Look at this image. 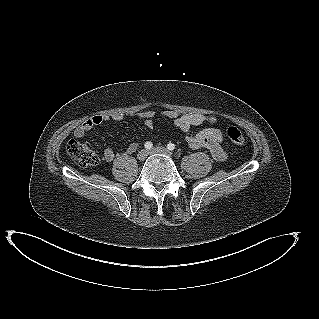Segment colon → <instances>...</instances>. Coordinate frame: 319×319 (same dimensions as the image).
<instances>
[{
    "mask_svg": "<svg viewBox=\"0 0 319 319\" xmlns=\"http://www.w3.org/2000/svg\"><path fill=\"white\" fill-rule=\"evenodd\" d=\"M227 137L235 145H243L245 137L240 130L229 127L226 131ZM67 154L80 166H94L98 163V157L87 143L70 140L66 144Z\"/></svg>",
    "mask_w": 319,
    "mask_h": 319,
    "instance_id": "colon-1",
    "label": "colon"
}]
</instances>
